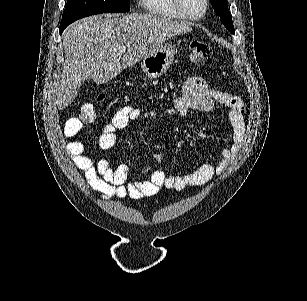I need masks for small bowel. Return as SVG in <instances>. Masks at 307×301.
<instances>
[{"instance_id": "small-bowel-1", "label": "small bowel", "mask_w": 307, "mask_h": 301, "mask_svg": "<svg viewBox=\"0 0 307 301\" xmlns=\"http://www.w3.org/2000/svg\"><path fill=\"white\" fill-rule=\"evenodd\" d=\"M214 103H218L227 113L232 128L231 143L223 148L221 160L217 164H203L186 175L166 174L162 170H156L148 171L145 180L129 181L130 171L125 164L112 168L106 160L95 162L86 155L85 145L76 139L82 129V123L77 118L69 119L64 126L66 152L74 165L84 173L88 185L103 200H109L113 196L141 199L156 195L161 188L181 191L187 187L201 186L222 174L236 158L245 137L244 103L237 96L210 88L202 77L192 76L184 83L183 95L166 110L170 115L185 116L189 110L207 111ZM155 115L152 110L143 112L131 106L120 108L104 125L98 139L99 147L110 150L116 144L118 131L125 128L130 121L152 119Z\"/></svg>"}]
</instances>
